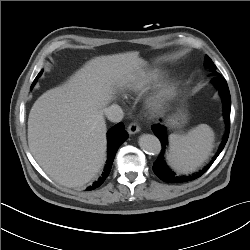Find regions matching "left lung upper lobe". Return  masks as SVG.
Masks as SVG:
<instances>
[{"label": "left lung upper lobe", "mask_w": 250, "mask_h": 250, "mask_svg": "<svg viewBox=\"0 0 250 250\" xmlns=\"http://www.w3.org/2000/svg\"><path fill=\"white\" fill-rule=\"evenodd\" d=\"M205 66L210 70L213 71L214 75H219L216 71V66L214 65V63L212 62V60L206 55L205 57Z\"/></svg>", "instance_id": "5c2ea615"}]
</instances>
